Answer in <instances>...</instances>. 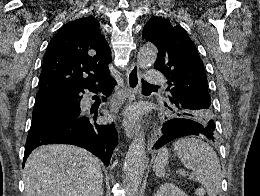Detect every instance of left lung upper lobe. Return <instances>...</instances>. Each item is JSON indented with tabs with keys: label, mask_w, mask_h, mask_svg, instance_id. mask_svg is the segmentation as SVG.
<instances>
[{
	"label": "left lung upper lobe",
	"mask_w": 260,
	"mask_h": 196,
	"mask_svg": "<svg viewBox=\"0 0 260 196\" xmlns=\"http://www.w3.org/2000/svg\"><path fill=\"white\" fill-rule=\"evenodd\" d=\"M142 36L157 47L154 68L168 79L171 103L168 117L194 120L203 125L213 123L214 110L204 65L186 31L165 18L153 17L144 25ZM158 133H162V128Z\"/></svg>",
	"instance_id": "1"
}]
</instances>
